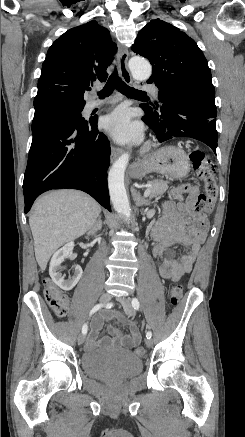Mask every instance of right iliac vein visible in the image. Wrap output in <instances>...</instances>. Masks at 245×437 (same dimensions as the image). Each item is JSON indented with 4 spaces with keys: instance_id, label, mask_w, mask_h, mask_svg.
I'll return each mask as SVG.
<instances>
[{
    "instance_id": "1",
    "label": "right iliac vein",
    "mask_w": 245,
    "mask_h": 437,
    "mask_svg": "<svg viewBox=\"0 0 245 437\" xmlns=\"http://www.w3.org/2000/svg\"><path fill=\"white\" fill-rule=\"evenodd\" d=\"M110 300H111V295L109 293H104L100 297L101 304L108 303ZM84 341H85V334L82 333L78 336V344L81 345L84 343Z\"/></svg>"
}]
</instances>
